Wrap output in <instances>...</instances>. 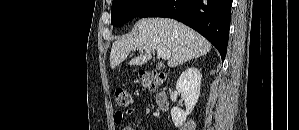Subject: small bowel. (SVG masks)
I'll return each mask as SVG.
<instances>
[{
  "label": "small bowel",
  "mask_w": 299,
  "mask_h": 130,
  "mask_svg": "<svg viewBox=\"0 0 299 130\" xmlns=\"http://www.w3.org/2000/svg\"><path fill=\"white\" fill-rule=\"evenodd\" d=\"M136 113L135 109H129L126 112V115H134ZM125 117V114L121 111H117L114 114V122L116 124H121L123 122V119ZM121 130H137V128L133 126H124Z\"/></svg>",
  "instance_id": "obj_1"
}]
</instances>
